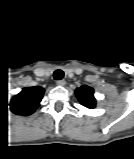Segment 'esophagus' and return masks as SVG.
<instances>
[{
  "label": "esophagus",
  "instance_id": "obj_1",
  "mask_svg": "<svg viewBox=\"0 0 134 159\" xmlns=\"http://www.w3.org/2000/svg\"><path fill=\"white\" fill-rule=\"evenodd\" d=\"M56 83L59 86H64L66 84V81L64 79H61V80H58Z\"/></svg>",
  "mask_w": 134,
  "mask_h": 159
}]
</instances>
